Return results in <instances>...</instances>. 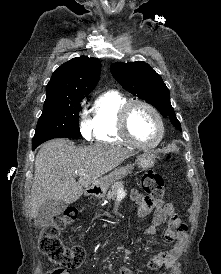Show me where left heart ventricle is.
<instances>
[{"label":"left heart ventricle","mask_w":221,"mask_h":274,"mask_svg":"<svg viewBox=\"0 0 221 274\" xmlns=\"http://www.w3.org/2000/svg\"><path fill=\"white\" fill-rule=\"evenodd\" d=\"M129 129L132 136L144 144L153 143L159 135L155 116L145 107H134L129 116Z\"/></svg>","instance_id":"1"}]
</instances>
